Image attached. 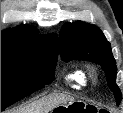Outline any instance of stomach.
<instances>
[{"instance_id":"obj_1","label":"stomach","mask_w":123,"mask_h":113,"mask_svg":"<svg viewBox=\"0 0 123 113\" xmlns=\"http://www.w3.org/2000/svg\"><path fill=\"white\" fill-rule=\"evenodd\" d=\"M87 104L81 100H72L68 103L58 105L53 109V112L76 113L83 112Z\"/></svg>"}]
</instances>
